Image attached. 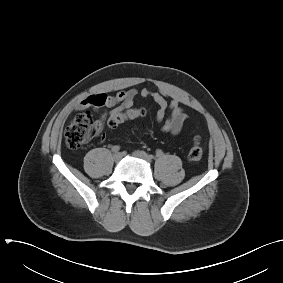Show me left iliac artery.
I'll return each mask as SVG.
<instances>
[{"mask_svg":"<svg viewBox=\"0 0 283 283\" xmlns=\"http://www.w3.org/2000/svg\"><path fill=\"white\" fill-rule=\"evenodd\" d=\"M163 156V152L161 150H158L156 153V157H162ZM151 158H154L152 155H150Z\"/></svg>","mask_w":283,"mask_h":283,"instance_id":"44dca946","label":"left iliac artery"}]
</instances>
